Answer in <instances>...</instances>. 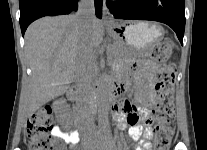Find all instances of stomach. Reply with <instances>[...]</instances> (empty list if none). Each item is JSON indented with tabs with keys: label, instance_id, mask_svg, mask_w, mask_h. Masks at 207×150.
<instances>
[{
	"label": "stomach",
	"instance_id": "stomach-1",
	"mask_svg": "<svg viewBox=\"0 0 207 150\" xmlns=\"http://www.w3.org/2000/svg\"><path fill=\"white\" fill-rule=\"evenodd\" d=\"M107 31L114 40V47L121 48L119 58L123 60L147 52L164 35L160 24L149 22L113 24Z\"/></svg>",
	"mask_w": 207,
	"mask_h": 150
}]
</instances>
